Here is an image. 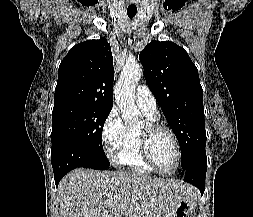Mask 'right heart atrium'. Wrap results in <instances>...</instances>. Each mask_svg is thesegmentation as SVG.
Returning <instances> with one entry per match:
<instances>
[{
	"label": "right heart atrium",
	"mask_w": 253,
	"mask_h": 217,
	"mask_svg": "<svg viewBox=\"0 0 253 217\" xmlns=\"http://www.w3.org/2000/svg\"><path fill=\"white\" fill-rule=\"evenodd\" d=\"M128 135L119 111L113 108L105 118L101 128V139L107 156L113 160L115 154L125 143Z\"/></svg>",
	"instance_id": "obj_1"
}]
</instances>
